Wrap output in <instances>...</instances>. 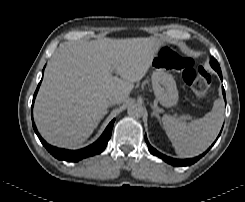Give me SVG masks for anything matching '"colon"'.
I'll use <instances>...</instances> for the list:
<instances>
[{"mask_svg": "<svg viewBox=\"0 0 245 202\" xmlns=\"http://www.w3.org/2000/svg\"><path fill=\"white\" fill-rule=\"evenodd\" d=\"M162 54L174 70L182 73L194 96L203 99L211 87L209 75L196 65L194 59L181 57L173 47L165 46Z\"/></svg>", "mask_w": 245, "mask_h": 202, "instance_id": "colon-1", "label": "colon"}]
</instances>
